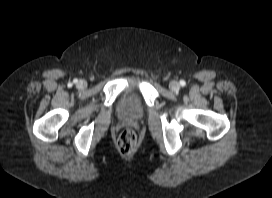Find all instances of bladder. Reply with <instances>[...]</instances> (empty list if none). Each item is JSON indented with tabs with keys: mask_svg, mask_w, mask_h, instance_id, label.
Here are the masks:
<instances>
[{
	"mask_svg": "<svg viewBox=\"0 0 272 198\" xmlns=\"http://www.w3.org/2000/svg\"><path fill=\"white\" fill-rule=\"evenodd\" d=\"M146 114V106L141 94L134 89L125 91L118 104V115L122 119L137 121Z\"/></svg>",
	"mask_w": 272,
	"mask_h": 198,
	"instance_id": "31cf9c89",
	"label": "bladder"
}]
</instances>
